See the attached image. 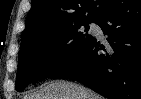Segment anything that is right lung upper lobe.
<instances>
[{
    "label": "right lung upper lobe",
    "mask_w": 141,
    "mask_h": 99,
    "mask_svg": "<svg viewBox=\"0 0 141 99\" xmlns=\"http://www.w3.org/2000/svg\"><path fill=\"white\" fill-rule=\"evenodd\" d=\"M115 0H32L21 45L81 22L96 21Z\"/></svg>",
    "instance_id": "obj_1"
}]
</instances>
